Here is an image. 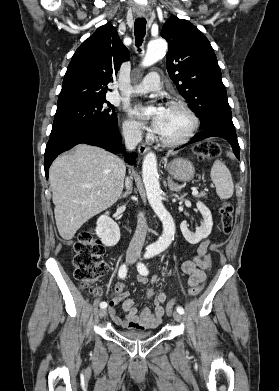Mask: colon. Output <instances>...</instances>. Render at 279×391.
<instances>
[{"label":"colon","mask_w":279,"mask_h":391,"mask_svg":"<svg viewBox=\"0 0 279 391\" xmlns=\"http://www.w3.org/2000/svg\"><path fill=\"white\" fill-rule=\"evenodd\" d=\"M199 160L216 158L221 155L222 149L218 143L206 141L194 148ZM222 231L229 234L233 227V207L230 202L224 201L219 207ZM74 255L72 264L74 277L83 288H88L94 294H98L95 287L98 277L107 270V264L103 260L104 246L96 236L94 230L82 231L74 243ZM204 260L211 265V257L205 254ZM203 283L196 284L188 289L189 296H195L202 290ZM175 300H171L166 306V313L170 315L174 309Z\"/></svg>","instance_id":"1"}]
</instances>
